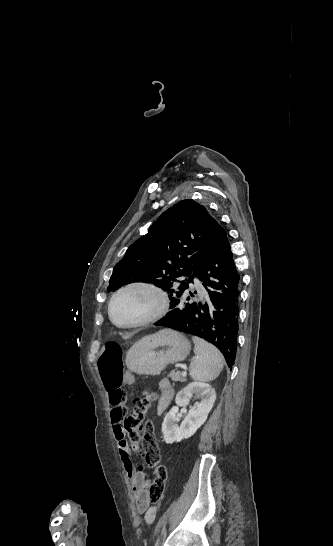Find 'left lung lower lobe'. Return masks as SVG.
<instances>
[{
  "label": "left lung lower lobe",
  "mask_w": 333,
  "mask_h": 546,
  "mask_svg": "<svg viewBox=\"0 0 333 546\" xmlns=\"http://www.w3.org/2000/svg\"><path fill=\"white\" fill-rule=\"evenodd\" d=\"M193 277L205 287V303L192 302L197 292L188 287L171 299L172 310L156 325L192 334L213 343L232 369L237 350L239 279L226 231L218 224L209 250Z\"/></svg>",
  "instance_id": "0a47b994"
}]
</instances>
